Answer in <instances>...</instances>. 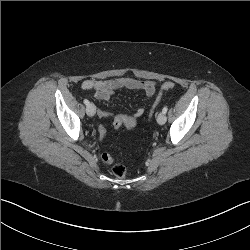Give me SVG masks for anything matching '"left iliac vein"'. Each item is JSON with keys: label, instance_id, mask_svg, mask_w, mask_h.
Wrapping results in <instances>:
<instances>
[{"label": "left iliac vein", "instance_id": "left-iliac-vein-1", "mask_svg": "<svg viewBox=\"0 0 250 250\" xmlns=\"http://www.w3.org/2000/svg\"><path fill=\"white\" fill-rule=\"evenodd\" d=\"M167 118H166V115L165 113L161 112L159 113L158 117H157V122L160 124V125H163L165 124Z\"/></svg>", "mask_w": 250, "mask_h": 250}]
</instances>
